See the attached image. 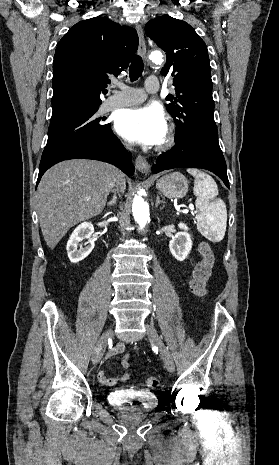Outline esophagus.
<instances>
[{"label":"esophagus","instance_id":"1","mask_svg":"<svg viewBox=\"0 0 279 465\" xmlns=\"http://www.w3.org/2000/svg\"><path fill=\"white\" fill-rule=\"evenodd\" d=\"M136 31H137L138 37H139V47H138L139 54L144 59H147L144 34H143V31H142V28H141L140 25H136ZM135 167L139 172L145 173V174H147L149 172V169H150V165H149L147 159L145 157L141 156V155L137 156V158L135 160Z\"/></svg>","mask_w":279,"mask_h":465}]
</instances>
